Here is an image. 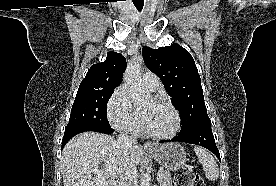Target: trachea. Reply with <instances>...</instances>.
<instances>
[{
  "instance_id": "3493384b",
  "label": "trachea",
  "mask_w": 276,
  "mask_h": 186,
  "mask_svg": "<svg viewBox=\"0 0 276 186\" xmlns=\"http://www.w3.org/2000/svg\"><path fill=\"white\" fill-rule=\"evenodd\" d=\"M134 6L136 7V9L138 11H142L143 6H144V2H133Z\"/></svg>"
}]
</instances>
